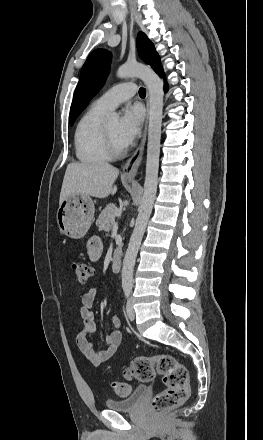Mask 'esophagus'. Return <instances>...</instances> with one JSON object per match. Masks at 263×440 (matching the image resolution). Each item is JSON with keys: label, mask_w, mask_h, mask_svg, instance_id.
<instances>
[{"label": "esophagus", "mask_w": 263, "mask_h": 440, "mask_svg": "<svg viewBox=\"0 0 263 440\" xmlns=\"http://www.w3.org/2000/svg\"><path fill=\"white\" fill-rule=\"evenodd\" d=\"M148 108H149V98L147 95L146 98V110H147V118L145 122V127L142 135V139L140 144L138 145L137 149L134 151V153L127 159L125 162L123 169H122V177L129 180H134L135 176L137 174L139 165L141 163L143 154H144V148L147 138V121H148Z\"/></svg>", "instance_id": "esophagus-1"}]
</instances>
